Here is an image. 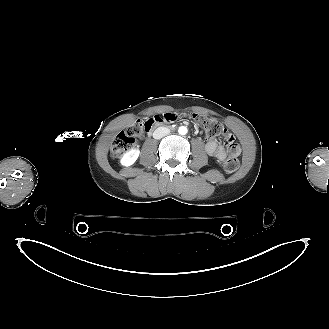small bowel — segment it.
<instances>
[{"label":"small bowel","instance_id":"small-bowel-1","mask_svg":"<svg viewBox=\"0 0 329 329\" xmlns=\"http://www.w3.org/2000/svg\"><path fill=\"white\" fill-rule=\"evenodd\" d=\"M176 119L177 114L173 113H160L156 116V121L158 123H174ZM205 150L209 156L214 157L219 162H224L229 157H236L240 153V148L236 145L230 146L226 149L223 146L218 145L214 141H209L205 146Z\"/></svg>","mask_w":329,"mask_h":329}]
</instances>
